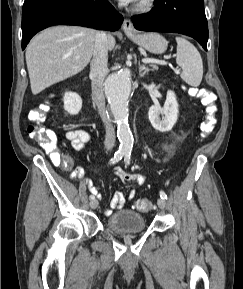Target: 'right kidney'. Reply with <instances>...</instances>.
I'll return each instance as SVG.
<instances>
[{"label": "right kidney", "mask_w": 243, "mask_h": 289, "mask_svg": "<svg viewBox=\"0 0 243 289\" xmlns=\"http://www.w3.org/2000/svg\"><path fill=\"white\" fill-rule=\"evenodd\" d=\"M64 109L70 115H76L82 108V99L77 93L66 92L63 97Z\"/></svg>", "instance_id": "right-kidney-1"}]
</instances>
